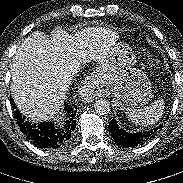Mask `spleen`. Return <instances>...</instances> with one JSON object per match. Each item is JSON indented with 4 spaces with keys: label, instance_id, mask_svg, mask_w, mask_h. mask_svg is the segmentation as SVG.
Returning <instances> with one entry per match:
<instances>
[{
    "label": "spleen",
    "instance_id": "obj_1",
    "mask_svg": "<svg viewBox=\"0 0 183 183\" xmlns=\"http://www.w3.org/2000/svg\"><path fill=\"white\" fill-rule=\"evenodd\" d=\"M164 100H156L141 109H127V117L137 125L149 126L155 124L164 113Z\"/></svg>",
    "mask_w": 183,
    "mask_h": 183
}]
</instances>
